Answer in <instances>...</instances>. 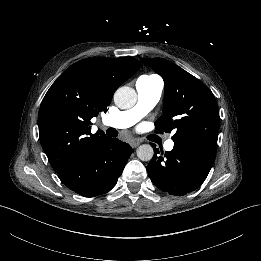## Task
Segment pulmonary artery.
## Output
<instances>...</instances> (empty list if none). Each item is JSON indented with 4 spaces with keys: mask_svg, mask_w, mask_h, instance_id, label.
Returning <instances> with one entry per match:
<instances>
[{
    "mask_svg": "<svg viewBox=\"0 0 261 261\" xmlns=\"http://www.w3.org/2000/svg\"><path fill=\"white\" fill-rule=\"evenodd\" d=\"M136 89L137 104L127 111L106 116L103 120L104 125L125 129L135 124L157 105L162 96L164 84L161 80L139 81L136 83ZM162 146L165 150L170 151L174 148L175 143L172 139L167 138L163 141Z\"/></svg>",
    "mask_w": 261,
    "mask_h": 261,
    "instance_id": "obj_1",
    "label": "pulmonary artery"
}]
</instances>
